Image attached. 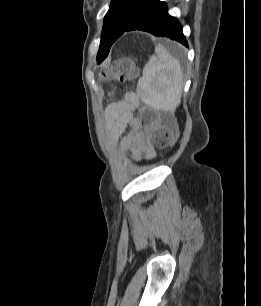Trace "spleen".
Masks as SVG:
<instances>
[{
    "mask_svg": "<svg viewBox=\"0 0 261 306\" xmlns=\"http://www.w3.org/2000/svg\"><path fill=\"white\" fill-rule=\"evenodd\" d=\"M155 53L143 68L137 94L149 107L172 112L181 102L182 68L163 45H157Z\"/></svg>",
    "mask_w": 261,
    "mask_h": 306,
    "instance_id": "1",
    "label": "spleen"
}]
</instances>
